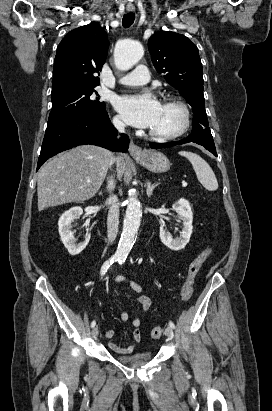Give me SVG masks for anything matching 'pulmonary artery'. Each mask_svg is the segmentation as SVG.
<instances>
[{
	"mask_svg": "<svg viewBox=\"0 0 272 411\" xmlns=\"http://www.w3.org/2000/svg\"><path fill=\"white\" fill-rule=\"evenodd\" d=\"M150 75L148 69L144 65H138L135 70L119 79V83L129 86H142L149 82Z\"/></svg>",
	"mask_w": 272,
	"mask_h": 411,
	"instance_id": "obj_1",
	"label": "pulmonary artery"
}]
</instances>
